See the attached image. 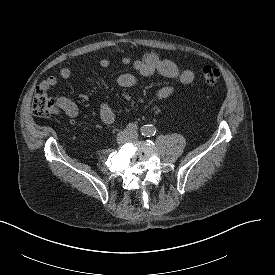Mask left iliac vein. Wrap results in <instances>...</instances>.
Instances as JSON below:
<instances>
[{"instance_id": "1", "label": "left iliac vein", "mask_w": 275, "mask_h": 275, "mask_svg": "<svg viewBox=\"0 0 275 275\" xmlns=\"http://www.w3.org/2000/svg\"><path fill=\"white\" fill-rule=\"evenodd\" d=\"M133 138L136 140V139L138 138V136H137V135H134Z\"/></svg>"}]
</instances>
